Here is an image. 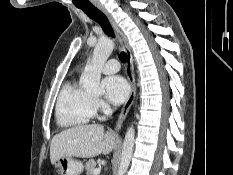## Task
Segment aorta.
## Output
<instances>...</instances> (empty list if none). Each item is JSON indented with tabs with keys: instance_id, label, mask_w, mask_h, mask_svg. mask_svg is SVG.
I'll return each instance as SVG.
<instances>
[{
	"instance_id": "aorta-1",
	"label": "aorta",
	"mask_w": 233,
	"mask_h": 175,
	"mask_svg": "<svg viewBox=\"0 0 233 175\" xmlns=\"http://www.w3.org/2000/svg\"><path fill=\"white\" fill-rule=\"evenodd\" d=\"M114 49L113 41L109 39L100 40L94 48L93 57L87 63L81 76L83 89L88 93H97L100 91V78L102 68ZM135 130L131 126L124 138L120 165L117 175H125L130 165L134 150Z\"/></svg>"
}]
</instances>
